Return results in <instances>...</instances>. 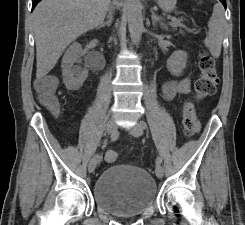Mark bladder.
Returning a JSON list of instances; mask_svg holds the SVG:
<instances>
[{"instance_id": "obj_1", "label": "bladder", "mask_w": 245, "mask_h": 225, "mask_svg": "<svg viewBox=\"0 0 245 225\" xmlns=\"http://www.w3.org/2000/svg\"><path fill=\"white\" fill-rule=\"evenodd\" d=\"M95 204L106 213L126 217L143 214L157 200V185L139 166L112 165L99 172L92 186Z\"/></svg>"}]
</instances>
